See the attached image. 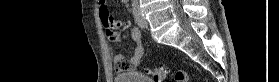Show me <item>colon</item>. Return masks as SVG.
<instances>
[{
	"label": "colon",
	"mask_w": 279,
	"mask_h": 82,
	"mask_svg": "<svg viewBox=\"0 0 279 82\" xmlns=\"http://www.w3.org/2000/svg\"><path fill=\"white\" fill-rule=\"evenodd\" d=\"M100 18L107 29H111L113 27L114 22L105 6L100 7ZM144 71L152 77L153 81L156 82H161L168 72L166 67L145 68ZM188 80L189 76L186 71L180 70L175 73V82H188Z\"/></svg>",
	"instance_id": "colon-1"
}]
</instances>
